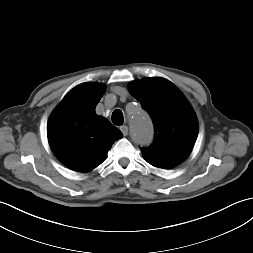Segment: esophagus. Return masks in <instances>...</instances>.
<instances>
[{"mask_svg":"<svg viewBox=\"0 0 253 253\" xmlns=\"http://www.w3.org/2000/svg\"><path fill=\"white\" fill-rule=\"evenodd\" d=\"M120 130L122 131L124 136H126L128 134V126H126V125L121 126Z\"/></svg>","mask_w":253,"mask_h":253,"instance_id":"34e87169","label":"esophagus"}]
</instances>
